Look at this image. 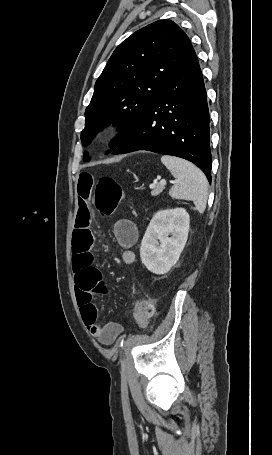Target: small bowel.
Listing matches in <instances>:
<instances>
[{
    "label": "small bowel",
    "instance_id": "small-bowel-1",
    "mask_svg": "<svg viewBox=\"0 0 272 455\" xmlns=\"http://www.w3.org/2000/svg\"><path fill=\"white\" fill-rule=\"evenodd\" d=\"M96 179L90 172H81L77 178L78 213L73 232V271L77 302L82 318L94 337L102 344L110 345L124 330L121 322L98 323V308L95 299L106 294L107 289L100 270L94 265L92 253L93 234L91 231L90 200ZM117 243L122 248L121 259L130 265L136 261L132 250L138 239L136 225L128 220H118L113 227Z\"/></svg>",
    "mask_w": 272,
    "mask_h": 455
}]
</instances>
